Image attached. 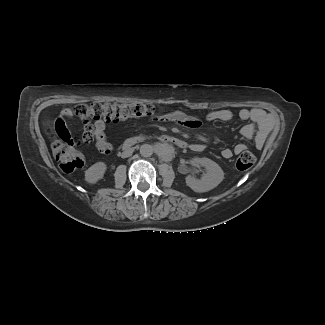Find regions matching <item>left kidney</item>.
Masks as SVG:
<instances>
[{
    "mask_svg": "<svg viewBox=\"0 0 325 325\" xmlns=\"http://www.w3.org/2000/svg\"><path fill=\"white\" fill-rule=\"evenodd\" d=\"M192 162L201 165L206 169L201 179H196L190 175L186 177V185L197 193L210 191L217 187L224 179V172L221 167L208 158H193Z\"/></svg>",
    "mask_w": 325,
    "mask_h": 325,
    "instance_id": "left-kidney-1",
    "label": "left kidney"
}]
</instances>
